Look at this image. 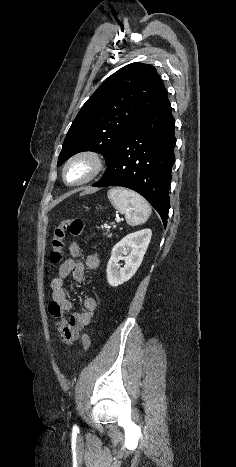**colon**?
I'll list each match as a JSON object with an SVG mask.
<instances>
[{
  "instance_id": "1",
  "label": "colon",
  "mask_w": 236,
  "mask_h": 467,
  "mask_svg": "<svg viewBox=\"0 0 236 467\" xmlns=\"http://www.w3.org/2000/svg\"><path fill=\"white\" fill-rule=\"evenodd\" d=\"M84 223L80 218L63 219L54 229L50 242V263L59 265L64 260V242L66 237H79L84 235ZM84 350L90 348V338L87 334L81 337Z\"/></svg>"
}]
</instances>
